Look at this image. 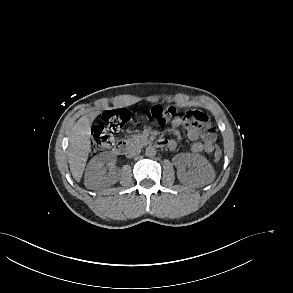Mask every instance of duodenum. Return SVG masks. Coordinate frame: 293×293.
<instances>
[{"mask_svg":"<svg viewBox=\"0 0 293 293\" xmlns=\"http://www.w3.org/2000/svg\"><path fill=\"white\" fill-rule=\"evenodd\" d=\"M166 143L162 140H158L155 142L156 147H163ZM113 151L117 154H130L132 152V146L125 139H120L114 145Z\"/></svg>","mask_w":293,"mask_h":293,"instance_id":"duodenum-1","label":"duodenum"}]
</instances>
